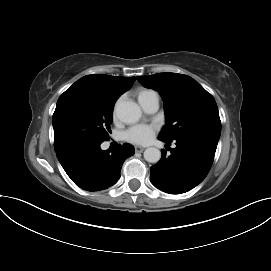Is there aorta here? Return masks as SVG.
<instances>
[{
  "label": "aorta",
  "instance_id": "1",
  "mask_svg": "<svg viewBox=\"0 0 271 271\" xmlns=\"http://www.w3.org/2000/svg\"><path fill=\"white\" fill-rule=\"evenodd\" d=\"M115 114L117 118L126 123L134 124L139 121L142 115L140 107L130 100H120L116 103ZM161 158L158 148L149 147L144 151V159L150 163H157Z\"/></svg>",
  "mask_w": 271,
  "mask_h": 271
}]
</instances>
